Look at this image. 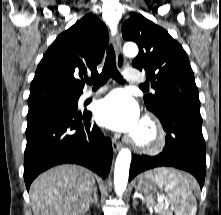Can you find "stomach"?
<instances>
[{"label": "stomach", "instance_id": "0dacf381", "mask_svg": "<svg viewBox=\"0 0 221 215\" xmlns=\"http://www.w3.org/2000/svg\"><path fill=\"white\" fill-rule=\"evenodd\" d=\"M163 170L164 169H157L154 171L146 172L139 176L137 179L136 189L144 195H152L154 192H156L157 187L160 186L156 180V177Z\"/></svg>", "mask_w": 221, "mask_h": 215}]
</instances>
